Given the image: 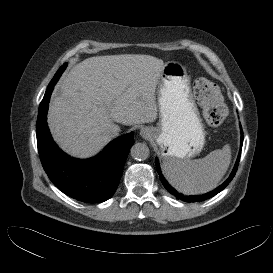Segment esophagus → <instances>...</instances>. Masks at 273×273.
Returning a JSON list of instances; mask_svg holds the SVG:
<instances>
[{
	"instance_id": "34e87169",
	"label": "esophagus",
	"mask_w": 273,
	"mask_h": 273,
	"mask_svg": "<svg viewBox=\"0 0 273 273\" xmlns=\"http://www.w3.org/2000/svg\"><path fill=\"white\" fill-rule=\"evenodd\" d=\"M140 134L143 136V137H148V132L147 131H145V130H141V132H140Z\"/></svg>"
}]
</instances>
